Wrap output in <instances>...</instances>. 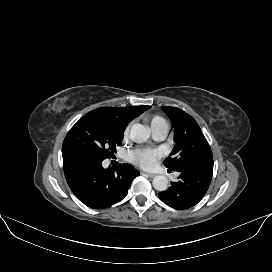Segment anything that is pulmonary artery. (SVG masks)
<instances>
[{"mask_svg": "<svg viewBox=\"0 0 272 272\" xmlns=\"http://www.w3.org/2000/svg\"><path fill=\"white\" fill-rule=\"evenodd\" d=\"M168 128H162L155 131H152L153 137L155 140H162L166 137ZM175 176H178V173H175Z\"/></svg>", "mask_w": 272, "mask_h": 272, "instance_id": "1", "label": "pulmonary artery"}]
</instances>
